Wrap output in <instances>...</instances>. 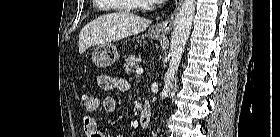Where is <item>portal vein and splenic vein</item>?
I'll list each match as a JSON object with an SVG mask.
<instances>
[{"instance_id": "1", "label": "portal vein and splenic vein", "mask_w": 280, "mask_h": 137, "mask_svg": "<svg viewBox=\"0 0 280 137\" xmlns=\"http://www.w3.org/2000/svg\"><path fill=\"white\" fill-rule=\"evenodd\" d=\"M136 73H137V74H142V73H143V68L138 67V68L136 69Z\"/></svg>"}]
</instances>
